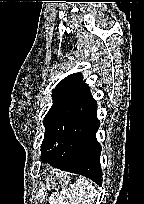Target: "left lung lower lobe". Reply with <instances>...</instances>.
I'll use <instances>...</instances> for the list:
<instances>
[{"label":"left lung lower lobe","instance_id":"0a47b994","mask_svg":"<svg viewBox=\"0 0 144 204\" xmlns=\"http://www.w3.org/2000/svg\"><path fill=\"white\" fill-rule=\"evenodd\" d=\"M96 110L97 103L89 89L86 100L70 120L64 139L41 158L55 168L86 176L102 186L101 146L96 139L100 122Z\"/></svg>","mask_w":144,"mask_h":204}]
</instances>
